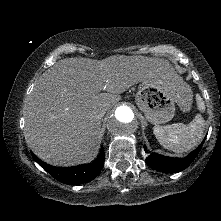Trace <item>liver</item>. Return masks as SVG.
<instances>
[{
	"label": "liver",
	"mask_w": 221,
	"mask_h": 221,
	"mask_svg": "<svg viewBox=\"0 0 221 221\" xmlns=\"http://www.w3.org/2000/svg\"><path fill=\"white\" fill-rule=\"evenodd\" d=\"M174 74L168 61L145 56L59 60L40 76L25 103L26 143L51 165L89 162L101 131L97 113L110 110L134 84L167 81Z\"/></svg>",
	"instance_id": "liver-1"
}]
</instances>
